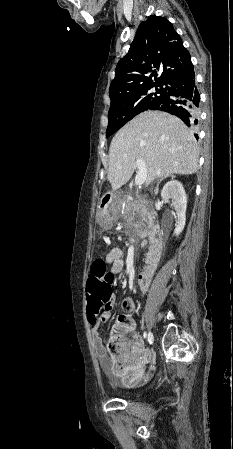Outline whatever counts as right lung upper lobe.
Returning <instances> with one entry per match:
<instances>
[{"mask_svg": "<svg viewBox=\"0 0 233 449\" xmlns=\"http://www.w3.org/2000/svg\"><path fill=\"white\" fill-rule=\"evenodd\" d=\"M192 66L190 54L172 23L164 17L150 16L139 25L128 53L117 64L110 99L148 85L165 84ZM160 67L163 73L157 78Z\"/></svg>", "mask_w": 233, "mask_h": 449, "instance_id": "right-lung-upper-lobe-1", "label": "right lung upper lobe"}]
</instances>
